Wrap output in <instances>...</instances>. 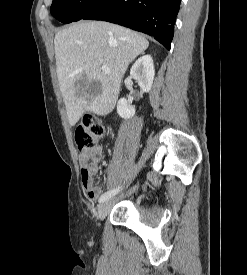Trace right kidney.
Returning a JSON list of instances; mask_svg holds the SVG:
<instances>
[{"instance_id": "obj_1", "label": "right kidney", "mask_w": 247, "mask_h": 275, "mask_svg": "<svg viewBox=\"0 0 247 275\" xmlns=\"http://www.w3.org/2000/svg\"><path fill=\"white\" fill-rule=\"evenodd\" d=\"M154 75V64L150 55L140 57L130 70V76L138 82L144 92L151 90ZM117 113L120 117L129 119L135 115V108L125 98H121L117 103Z\"/></svg>"}]
</instances>
